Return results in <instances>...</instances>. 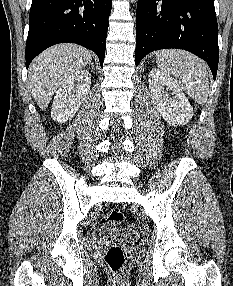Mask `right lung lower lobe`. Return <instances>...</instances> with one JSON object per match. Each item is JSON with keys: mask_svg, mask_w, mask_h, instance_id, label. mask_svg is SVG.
Listing matches in <instances>:
<instances>
[{"mask_svg": "<svg viewBox=\"0 0 233 286\" xmlns=\"http://www.w3.org/2000/svg\"><path fill=\"white\" fill-rule=\"evenodd\" d=\"M112 0H32L26 67L46 48L64 42L94 51L103 66Z\"/></svg>", "mask_w": 233, "mask_h": 286, "instance_id": "right-lung-lower-lobe-1", "label": "right lung lower lobe"}]
</instances>
